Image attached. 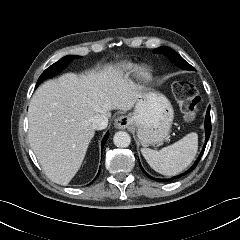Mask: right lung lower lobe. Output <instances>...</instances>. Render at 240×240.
<instances>
[{
	"label": "right lung lower lobe",
	"mask_w": 240,
	"mask_h": 240,
	"mask_svg": "<svg viewBox=\"0 0 240 240\" xmlns=\"http://www.w3.org/2000/svg\"><path fill=\"white\" fill-rule=\"evenodd\" d=\"M108 136H109V133H107L106 135H105V137H104V139H103V141H102V149H103V146H104V144H105V142L107 141V139H108ZM99 173H100V170H99ZM99 173H98V175H99ZM98 175L96 176V178L98 177ZM95 178V179H96ZM94 179V180H95Z\"/></svg>",
	"instance_id": "right-lung-lower-lobe-1"
}]
</instances>
